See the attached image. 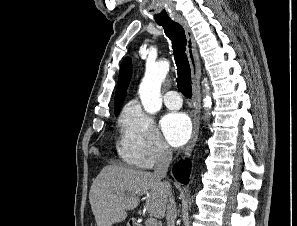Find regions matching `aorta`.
<instances>
[{
    "label": "aorta",
    "mask_w": 297,
    "mask_h": 226,
    "mask_svg": "<svg viewBox=\"0 0 297 226\" xmlns=\"http://www.w3.org/2000/svg\"><path fill=\"white\" fill-rule=\"evenodd\" d=\"M169 71V62L162 60L146 68L145 76L139 87V95L144 110L149 114H155L162 107L160 95L161 84ZM203 99L204 107L211 108L212 99L209 95V87Z\"/></svg>",
    "instance_id": "obj_1"
}]
</instances>
